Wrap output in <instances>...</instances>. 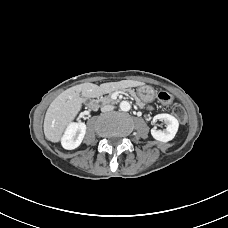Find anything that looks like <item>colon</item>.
<instances>
[{"mask_svg": "<svg viewBox=\"0 0 228 228\" xmlns=\"http://www.w3.org/2000/svg\"><path fill=\"white\" fill-rule=\"evenodd\" d=\"M158 98L163 105L170 108L174 116L178 119L179 122L184 123L187 119V115L183 107L176 105L174 103L173 97L167 92H160Z\"/></svg>", "mask_w": 228, "mask_h": 228, "instance_id": "5ec220e1", "label": "colon"}]
</instances>
